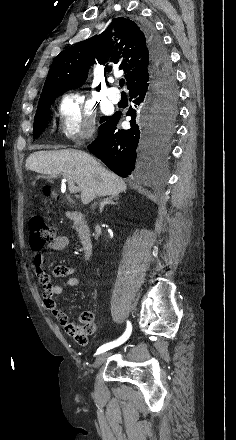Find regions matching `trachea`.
<instances>
[{
    "instance_id": "1",
    "label": "trachea",
    "mask_w": 236,
    "mask_h": 440,
    "mask_svg": "<svg viewBox=\"0 0 236 440\" xmlns=\"http://www.w3.org/2000/svg\"><path fill=\"white\" fill-rule=\"evenodd\" d=\"M124 84H125V80H124V79H120V80H119V85H120V87H123Z\"/></svg>"
}]
</instances>
